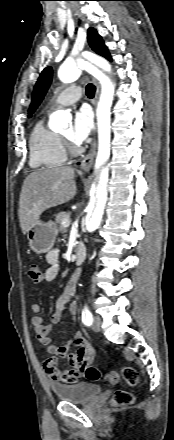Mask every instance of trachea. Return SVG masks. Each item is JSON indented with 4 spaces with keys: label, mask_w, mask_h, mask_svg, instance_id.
Here are the masks:
<instances>
[{
    "label": "trachea",
    "mask_w": 174,
    "mask_h": 440,
    "mask_svg": "<svg viewBox=\"0 0 174 440\" xmlns=\"http://www.w3.org/2000/svg\"><path fill=\"white\" fill-rule=\"evenodd\" d=\"M94 94H95V86H94L93 84L89 83V84L86 86V95H87L89 98H93V97H94Z\"/></svg>",
    "instance_id": "1"
}]
</instances>
